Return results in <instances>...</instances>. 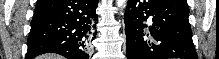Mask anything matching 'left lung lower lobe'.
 Returning <instances> with one entry per match:
<instances>
[{
  "instance_id": "1",
  "label": "left lung lower lobe",
  "mask_w": 219,
  "mask_h": 59,
  "mask_svg": "<svg viewBox=\"0 0 219 59\" xmlns=\"http://www.w3.org/2000/svg\"><path fill=\"white\" fill-rule=\"evenodd\" d=\"M186 0H128L127 59H197Z\"/></svg>"
}]
</instances>
